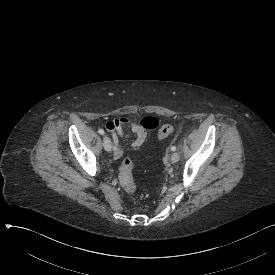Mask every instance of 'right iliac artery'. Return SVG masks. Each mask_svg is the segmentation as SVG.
<instances>
[{"instance_id": "1", "label": "right iliac artery", "mask_w": 275, "mask_h": 275, "mask_svg": "<svg viewBox=\"0 0 275 275\" xmlns=\"http://www.w3.org/2000/svg\"><path fill=\"white\" fill-rule=\"evenodd\" d=\"M98 133H99L100 135H104V134H105V132H104L103 129H99V130H98Z\"/></svg>"}]
</instances>
